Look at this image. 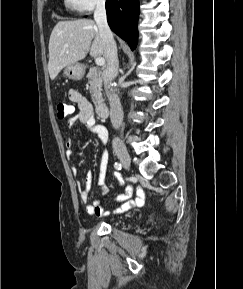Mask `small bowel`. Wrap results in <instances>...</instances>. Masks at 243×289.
I'll return each mask as SVG.
<instances>
[{"mask_svg":"<svg viewBox=\"0 0 243 289\" xmlns=\"http://www.w3.org/2000/svg\"><path fill=\"white\" fill-rule=\"evenodd\" d=\"M70 101L74 102L78 106V112L70 118L68 121V127L73 128L76 124H81L88 131L96 134L99 140L106 144L108 141V130L105 126L96 122L93 114V109L89 101L76 89H70L68 92ZM69 157L73 156V153H69ZM108 153L104 150L100 157L99 163V176L98 185L100 186L102 198L106 197L109 193V189L105 184V176L107 171ZM73 174H77V167H72ZM93 181L92 173L89 171L85 176V187L82 188L79 185L80 199L83 203H86L89 199L91 185ZM131 187L127 186L126 193L117 196V200L124 202L121 207L117 208L114 212L121 213L133 209L135 207H141L144 204V195L142 190H138L135 200H130ZM95 199L91 204L86 206V211L90 215L104 216L108 212L104 210L103 199Z\"/></svg>","mask_w":243,"mask_h":289,"instance_id":"obj_1","label":"small bowel"}]
</instances>
